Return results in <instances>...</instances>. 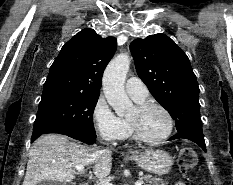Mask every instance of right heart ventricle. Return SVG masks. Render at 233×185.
<instances>
[{"mask_svg":"<svg viewBox=\"0 0 233 185\" xmlns=\"http://www.w3.org/2000/svg\"><path fill=\"white\" fill-rule=\"evenodd\" d=\"M135 101H136L137 103H140V102H142V101H144V100H135ZM126 123H127V133H126L125 138L131 137V136H132V130H131L130 124H129L128 121H126Z\"/></svg>","mask_w":233,"mask_h":185,"instance_id":"e07e8e85","label":"right heart ventricle"}]
</instances>
